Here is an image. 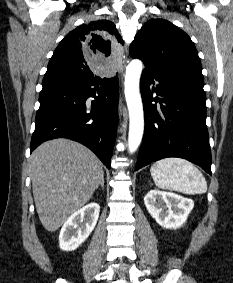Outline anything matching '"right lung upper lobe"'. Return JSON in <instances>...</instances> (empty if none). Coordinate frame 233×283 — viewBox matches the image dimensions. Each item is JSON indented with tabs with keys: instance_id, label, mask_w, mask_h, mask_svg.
<instances>
[{
	"instance_id": "1",
	"label": "right lung upper lobe",
	"mask_w": 233,
	"mask_h": 283,
	"mask_svg": "<svg viewBox=\"0 0 233 283\" xmlns=\"http://www.w3.org/2000/svg\"><path fill=\"white\" fill-rule=\"evenodd\" d=\"M116 43L124 44L111 21L97 20L80 25L55 49L43 82L91 79L96 77L92 70H112L114 60L107 59L118 58Z\"/></svg>"
}]
</instances>
